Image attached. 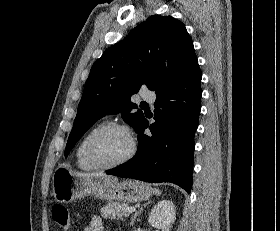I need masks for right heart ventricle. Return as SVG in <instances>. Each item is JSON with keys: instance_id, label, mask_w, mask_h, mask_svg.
Masks as SVG:
<instances>
[{"instance_id": "1", "label": "right heart ventricle", "mask_w": 280, "mask_h": 231, "mask_svg": "<svg viewBox=\"0 0 280 231\" xmlns=\"http://www.w3.org/2000/svg\"><path fill=\"white\" fill-rule=\"evenodd\" d=\"M106 123L107 121L105 119H100L96 121L89 128V130L84 134V136L80 139V141L77 143L74 151V159H75L76 166L80 170L91 171L96 169L93 166H91L85 159L84 150H85L86 143L88 139L91 137V135L94 134L99 128L104 126Z\"/></svg>"}]
</instances>
